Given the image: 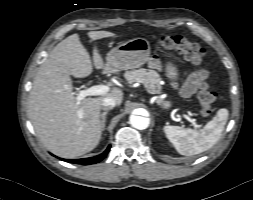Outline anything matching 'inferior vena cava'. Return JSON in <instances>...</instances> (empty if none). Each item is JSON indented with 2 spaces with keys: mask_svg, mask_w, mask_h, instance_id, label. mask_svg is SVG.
<instances>
[{
  "mask_svg": "<svg viewBox=\"0 0 253 200\" xmlns=\"http://www.w3.org/2000/svg\"><path fill=\"white\" fill-rule=\"evenodd\" d=\"M116 104H117V102H116L115 98H113V97H106L102 101L101 108L103 110H110V109L114 108L116 106Z\"/></svg>",
  "mask_w": 253,
  "mask_h": 200,
  "instance_id": "obj_1",
  "label": "inferior vena cava"
}]
</instances>
